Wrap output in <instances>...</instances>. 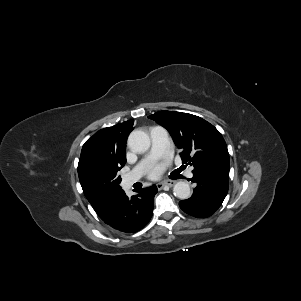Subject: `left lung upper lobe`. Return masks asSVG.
I'll list each match as a JSON object with an SVG mask.
<instances>
[{
	"mask_svg": "<svg viewBox=\"0 0 301 301\" xmlns=\"http://www.w3.org/2000/svg\"><path fill=\"white\" fill-rule=\"evenodd\" d=\"M149 118L169 131L181 149L182 163L194 167L193 175L229 184L227 145L213 125L198 116L173 111H160Z\"/></svg>",
	"mask_w": 301,
	"mask_h": 301,
	"instance_id": "left-lung-upper-lobe-1",
	"label": "left lung upper lobe"
}]
</instances>
